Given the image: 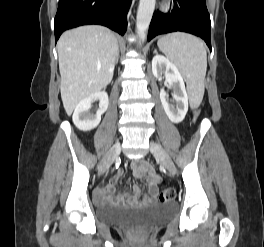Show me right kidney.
Here are the masks:
<instances>
[{
    "instance_id": "right-kidney-1",
    "label": "right kidney",
    "mask_w": 264,
    "mask_h": 247,
    "mask_svg": "<svg viewBox=\"0 0 264 247\" xmlns=\"http://www.w3.org/2000/svg\"><path fill=\"white\" fill-rule=\"evenodd\" d=\"M96 100H99V108L94 115L90 112V108ZM108 104L109 98L105 91L89 95L76 106L72 117L73 123L82 131H90L96 128L101 121V115L106 112Z\"/></svg>"
}]
</instances>
